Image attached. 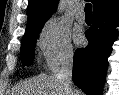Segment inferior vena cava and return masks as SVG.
Listing matches in <instances>:
<instances>
[{
    "mask_svg": "<svg viewBox=\"0 0 119 95\" xmlns=\"http://www.w3.org/2000/svg\"><path fill=\"white\" fill-rule=\"evenodd\" d=\"M72 69H73V53L67 52L62 58L60 71L56 74V77L62 80L67 88V94L76 95V89L72 82Z\"/></svg>",
    "mask_w": 119,
    "mask_h": 95,
    "instance_id": "602c4592",
    "label": "inferior vena cava"
}]
</instances>
